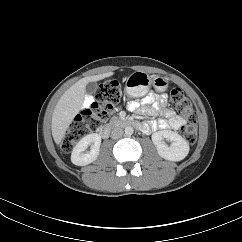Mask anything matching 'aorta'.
I'll return each instance as SVG.
<instances>
[{
	"label": "aorta",
	"instance_id": "obj_1",
	"mask_svg": "<svg viewBox=\"0 0 242 242\" xmlns=\"http://www.w3.org/2000/svg\"><path fill=\"white\" fill-rule=\"evenodd\" d=\"M124 131L126 136H131L134 132V129L131 126H127Z\"/></svg>",
	"mask_w": 242,
	"mask_h": 242
}]
</instances>
